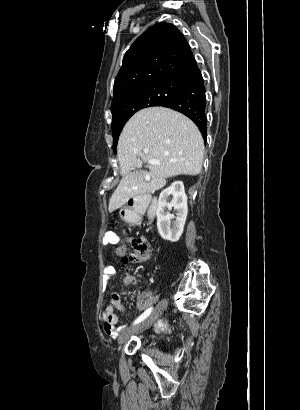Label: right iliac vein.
<instances>
[{
    "mask_svg": "<svg viewBox=\"0 0 300 410\" xmlns=\"http://www.w3.org/2000/svg\"><path fill=\"white\" fill-rule=\"evenodd\" d=\"M167 305V301L166 300H162L160 301L157 306L155 307V309L153 310V312L142 322H140L139 324H137L136 326H133L131 328H128L127 330H125L119 337V343H123L126 339H128L131 335L135 334V333H139L142 332L146 329H148L149 327L152 326V324L158 319V317L162 314V312L164 311V309L166 308Z\"/></svg>",
    "mask_w": 300,
    "mask_h": 410,
    "instance_id": "63e3f726",
    "label": "right iliac vein"
}]
</instances>
